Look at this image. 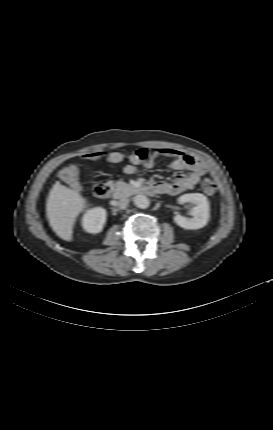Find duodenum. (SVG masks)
<instances>
[{
  "mask_svg": "<svg viewBox=\"0 0 273 430\" xmlns=\"http://www.w3.org/2000/svg\"><path fill=\"white\" fill-rule=\"evenodd\" d=\"M146 192H153L150 186L144 187ZM94 193L98 198L105 199L111 194V186L107 183H97L94 187Z\"/></svg>",
  "mask_w": 273,
  "mask_h": 430,
  "instance_id": "410a0bca",
  "label": "duodenum"
}]
</instances>
